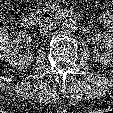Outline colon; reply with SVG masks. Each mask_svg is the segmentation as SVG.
<instances>
[{
	"label": "colon",
	"mask_w": 113,
	"mask_h": 113,
	"mask_svg": "<svg viewBox=\"0 0 113 113\" xmlns=\"http://www.w3.org/2000/svg\"><path fill=\"white\" fill-rule=\"evenodd\" d=\"M10 38H11V34L9 30L0 24V57H1L2 52L9 45Z\"/></svg>",
	"instance_id": "colon-1"
}]
</instances>
